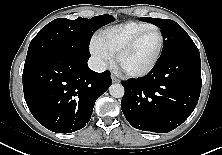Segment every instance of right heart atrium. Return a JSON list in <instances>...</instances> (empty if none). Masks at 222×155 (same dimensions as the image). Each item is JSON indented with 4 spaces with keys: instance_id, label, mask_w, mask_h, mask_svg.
Returning a JSON list of instances; mask_svg holds the SVG:
<instances>
[{
    "instance_id": "d8ad5b80",
    "label": "right heart atrium",
    "mask_w": 222,
    "mask_h": 155,
    "mask_svg": "<svg viewBox=\"0 0 222 155\" xmlns=\"http://www.w3.org/2000/svg\"><path fill=\"white\" fill-rule=\"evenodd\" d=\"M90 51L99 67H105L112 58V54L102 46L97 37L92 38Z\"/></svg>"
}]
</instances>
